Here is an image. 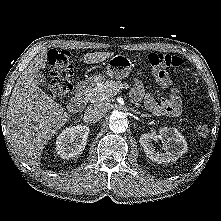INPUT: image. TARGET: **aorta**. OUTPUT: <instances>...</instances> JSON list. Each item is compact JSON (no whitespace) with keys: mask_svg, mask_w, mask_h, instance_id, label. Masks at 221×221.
I'll return each instance as SVG.
<instances>
[{"mask_svg":"<svg viewBox=\"0 0 221 221\" xmlns=\"http://www.w3.org/2000/svg\"><path fill=\"white\" fill-rule=\"evenodd\" d=\"M128 126L129 121L122 112L115 111L112 113L109 119V128L113 133H123Z\"/></svg>","mask_w":221,"mask_h":221,"instance_id":"762f6f07","label":"aorta"}]
</instances>
